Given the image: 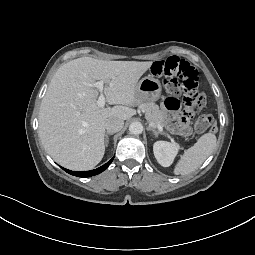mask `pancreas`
Wrapping results in <instances>:
<instances>
[{
	"instance_id": "cf45deb5",
	"label": "pancreas",
	"mask_w": 255,
	"mask_h": 255,
	"mask_svg": "<svg viewBox=\"0 0 255 255\" xmlns=\"http://www.w3.org/2000/svg\"><path fill=\"white\" fill-rule=\"evenodd\" d=\"M139 108L145 113V117L148 122L152 123L154 127H156L158 124L164 126L163 113L159 109L158 105L153 102L141 103Z\"/></svg>"
}]
</instances>
